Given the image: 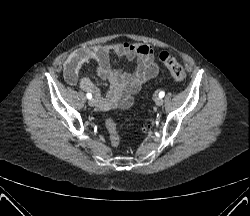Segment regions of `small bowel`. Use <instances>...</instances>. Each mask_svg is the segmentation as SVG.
Returning <instances> with one entry per match:
<instances>
[{
	"label": "small bowel",
	"mask_w": 250,
	"mask_h": 216,
	"mask_svg": "<svg viewBox=\"0 0 250 216\" xmlns=\"http://www.w3.org/2000/svg\"><path fill=\"white\" fill-rule=\"evenodd\" d=\"M114 54L128 61L136 60L133 71L113 69L110 56ZM90 61L97 63V74L110 84L106 97H102L93 82L80 76V69ZM159 67L155 62L152 47L145 43H112L79 49L72 53L64 64V78L70 85L92 92L100 110H111L131 105L132 97L149 79L155 77Z\"/></svg>",
	"instance_id": "c3829d8e"
}]
</instances>
